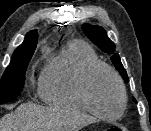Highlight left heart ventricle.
Wrapping results in <instances>:
<instances>
[{
  "label": "left heart ventricle",
  "instance_id": "left-heart-ventricle-1",
  "mask_svg": "<svg viewBox=\"0 0 151 131\" xmlns=\"http://www.w3.org/2000/svg\"><path fill=\"white\" fill-rule=\"evenodd\" d=\"M89 92L93 104L103 114L115 115L120 110V91L108 72L100 70L92 76Z\"/></svg>",
  "mask_w": 151,
  "mask_h": 131
}]
</instances>
